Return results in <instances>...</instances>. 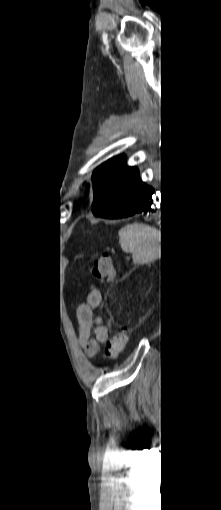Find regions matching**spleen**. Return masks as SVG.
<instances>
[{"label": "spleen", "mask_w": 221, "mask_h": 510, "mask_svg": "<svg viewBox=\"0 0 221 510\" xmlns=\"http://www.w3.org/2000/svg\"><path fill=\"white\" fill-rule=\"evenodd\" d=\"M118 234L122 250L132 253L135 263H147L159 253L160 233L155 227L133 223L121 228Z\"/></svg>", "instance_id": "1"}]
</instances>
